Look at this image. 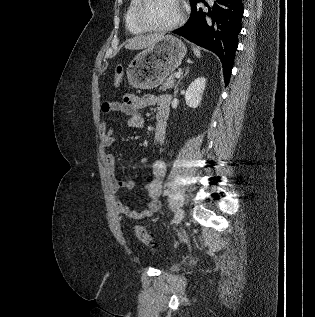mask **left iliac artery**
Instances as JSON below:
<instances>
[{"label":"left iliac artery","instance_id":"44dca946","mask_svg":"<svg viewBox=\"0 0 315 317\" xmlns=\"http://www.w3.org/2000/svg\"><path fill=\"white\" fill-rule=\"evenodd\" d=\"M169 193L170 192L168 190H165V192H164L165 195H169Z\"/></svg>","mask_w":315,"mask_h":317}]
</instances>
